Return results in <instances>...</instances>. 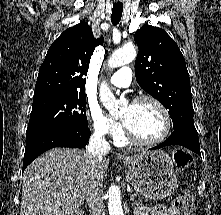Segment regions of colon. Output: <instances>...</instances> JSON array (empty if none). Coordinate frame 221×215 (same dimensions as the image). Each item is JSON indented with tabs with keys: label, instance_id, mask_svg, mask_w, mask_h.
<instances>
[{
	"label": "colon",
	"instance_id": "colon-1",
	"mask_svg": "<svg viewBox=\"0 0 221 215\" xmlns=\"http://www.w3.org/2000/svg\"><path fill=\"white\" fill-rule=\"evenodd\" d=\"M174 162L177 168L184 170L192 164V156L183 149H178L174 153ZM175 208L180 210L183 215H191L196 208L195 199L187 194L180 195L175 200Z\"/></svg>",
	"mask_w": 221,
	"mask_h": 215
}]
</instances>
